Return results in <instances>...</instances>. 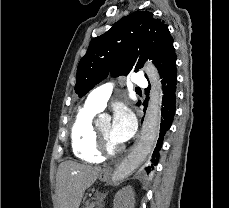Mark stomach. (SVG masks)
Wrapping results in <instances>:
<instances>
[{
    "label": "stomach",
    "mask_w": 229,
    "mask_h": 208,
    "mask_svg": "<svg viewBox=\"0 0 229 208\" xmlns=\"http://www.w3.org/2000/svg\"><path fill=\"white\" fill-rule=\"evenodd\" d=\"M110 176H112L111 170H106L105 168V170L99 174V180H101V182H108V180H110Z\"/></svg>",
    "instance_id": "0dacf381"
}]
</instances>
